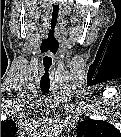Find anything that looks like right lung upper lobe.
Wrapping results in <instances>:
<instances>
[{
    "label": "right lung upper lobe",
    "mask_w": 121,
    "mask_h": 137,
    "mask_svg": "<svg viewBox=\"0 0 121 137\" xmlns=\"http://www.w3.org/2000/svg\"><path fill=\"white\" fill-rule=\"evenodd\" d=\"M16 129V124L12 120L1 121V133L9 134V132H14Z\"/></svg>",
    "instance_id": "obj_1"
}]
</instances>
